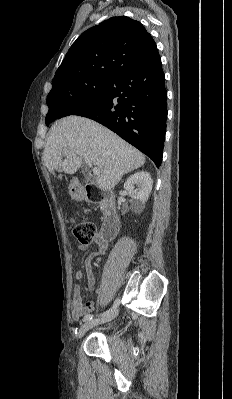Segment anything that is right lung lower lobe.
<instances>
[{
	"instance_id": "obj_1",
	"label": "right lung lower lobe",
	"mask_w": 232,
	"mask_h": 399,
	"mask_svg": "<svg viewBox=\"0 0 232 399\" xmlns=\"http://www.w3.org/2000/svg\"><path fill=\"white\" fill-rule=\"evenodd\" d=\"M167 91L158 51L110 78L95 101L80 104L60 117L78 115L95 120L161 165L166 131Z\"/></svg>"
}]
</instances>
